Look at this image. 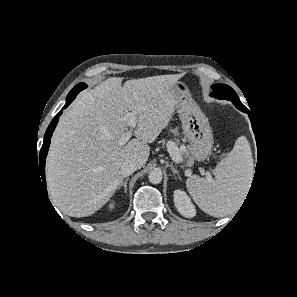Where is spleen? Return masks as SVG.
<instances>
[{"label":"spleen","instance_id":"obj_1","mask_svg":"<svg viewBox=\"0 0 297 297\" xmlns=\"http://www.w3.org/2000/svg\"><path fill=\"white\" fill-rule=\"evenodd\" d=\"M212 178L191 176L187 189L204 212L223 217L238 209L253 175V158L245 136L237 139L233 150L213 170Z\"/></svg>","mask_w":297,"mask_h":297}]
</instances>
